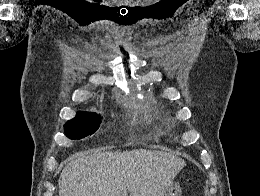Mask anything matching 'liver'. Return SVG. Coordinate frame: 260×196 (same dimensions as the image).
Masks as SVG:
<instances>
[{
  "mask_svg": "<svg viewBox=\"0 0 260 196\" xmlns=\"http://www.w3.org/2000/svg\"><path fill=\"white\" fill-rule=\"evenodd\" d=\"M184 166L170 152H80L61 174L59 196H164Z\"/></svg>",
  "mask_w": 260,
  "mask_h": 196,
  "instance_id": "obj_1",
  "label": "liver"
}]
</instances>
